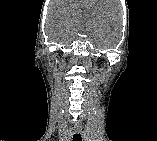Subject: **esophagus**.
Listing matches in <instances>:
<instances>
[{
	"label": "esophagus",
	"mask_w": 157,
	"mask_h": 141,
	"mask_svg": "<svg viewBox=\"0 0 157 141\" xmlns=\"http://www.w3.org/2000/svg\"><path fill=\"white\" fill-rule=\"evenodd\" d=\"M74 132L75 133H80L81 132V128L79 126H75L74 127Z\"/></svg>",
	"instance_id": "1"
}]
</instances>
